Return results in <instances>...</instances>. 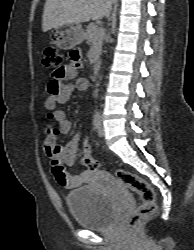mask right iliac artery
Here are the masks:
<instances>
[{
    "label": "right iliac artery",
    "instance_id": "82829eb1",
    "mask_svg": "<svg viewBox=\"0 0 194 250\" xmlns=\"http://www.w3.org/2000/svg\"><path fill=\"white\" fill-rule=\"evenodd\" d=\"M100 118H101V116L99 113L94 114L93 122H92L94 129H97L99 127Z\"/></svg>",
    "mask_w": 194,
    "mask_h": 250
}]
</instances>
